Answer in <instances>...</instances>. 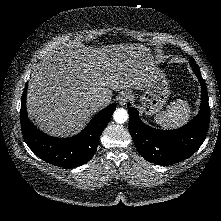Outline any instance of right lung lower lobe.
<instances>
[{
    "mask_svg": "<svg viewBox=\"0 0 221 221\" xmlns=\"http://www.w3.org/2000/svg\"><path fill=\"white\" fill-rule=\"evenodd\" d=\"M27 84L21 99V129L24 140L32 152L43 161L73 168L85 164L94 155L102 131L108 124L116 105L100 111L78 135L70 138H55L38 130L29 120L26 111Z\"/></svg>",
    "mask_w": 221,
    "mask_h": 221,
    "instance_id": "obj_1",
    "label": "right lung lower lobe"
}]
</instances>
